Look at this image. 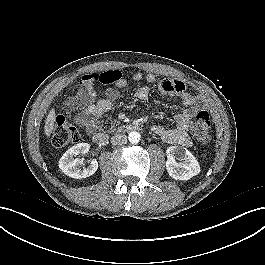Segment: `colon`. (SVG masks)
<instances>
[{
	"mask_svg": "<svg viewBox=\"0 0 265 265\" xmlns=\"http://www.w3.org/2000/svg\"><path fill=\"white\" fill-rule=\"evenodd\" d=\"M117 72H105L93 74L94 78L103 82H113ZM69 103H67L68 105ZM78 120V115L71 110H66L58 115L55 121V127L52 136V143L57 148L65 147L79 141L80 134L73 122ZM212 122L209 113L199 111L192 122L191 132L194 138L201 144L210 141V130Z\"/></svg>",
	"mask_w": 265,
	"mask_h": 265,
	"instance_id": "colon-1",
	"label": "colon"
}]
</instances>
